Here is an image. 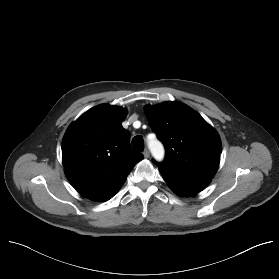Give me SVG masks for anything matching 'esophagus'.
Instances as JSON below:
<instances>
[{
    "instance_id": "1",
    "label": "esophagus",
    "mask_w": 279,
    "mask_h": 279,
    "mask_svg": "<svg viewBox=\"0 0 279 279\" xmlns=\"http://www.w3.org/2000/svg\"><path fill=\"white\" fill-rule=\"evenodd\" d=\"M143 155L145 158H149L150 153H149L148 149H145V151L143 152Z\"/></svg>"
}]
</instances>
